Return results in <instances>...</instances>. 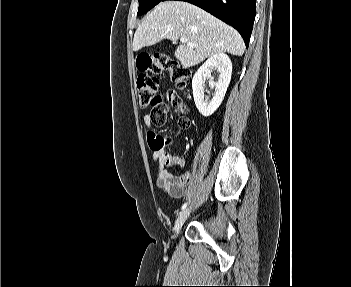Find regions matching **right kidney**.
<instances>
[{"mask_svg": "<svg viewBox=\"0 0 351 287\" xmlns=\"http://www.w3.org/2000/svg\"><path fill=\"white\" fill-rule=\"evenodd\" d=\"M214 69L219 73L217 82H214L211 76ZM231 74L232 63L228 55L224 53H216L209 57L194 74L192 79L194 102L203 116L212 115L221 105L231 80ZM206 79L210 80L211 87H215V94L211 101H208L205 96Z\"/></svg>", "mask_w": 351, "mask_h": 287, "instance_id": "obj_1", "label": "right kidney"}]
</instances>
